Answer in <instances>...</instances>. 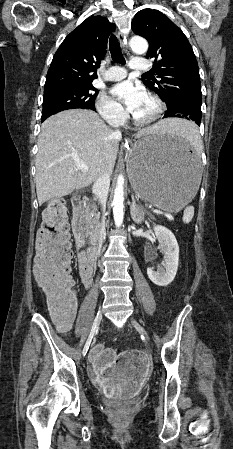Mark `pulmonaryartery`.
I'll use <instances>...</instances> for the list:
<instances>
[{"instance_id": "obj_1", "label": "pulmonary artery", "mask_w": 233, "mask_h": 449, "mask_svg": "<svg viewBox=\"0 0 233 449\" xmlns=\"http://www.w3.org/2000/svg\"><path fill=\"white\" fill-rule=\"evenodd\" d=\"M129 68L134 71H142L148 69V65L143 59L134 58L131 60ZM126 74L127 71L125 68L121 66H112L106 71L104 79L107 81H119L125 78Z\"/></svg>"}]
</instances>
